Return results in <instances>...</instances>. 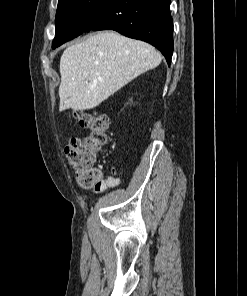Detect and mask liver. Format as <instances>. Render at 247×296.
I'll return each instance as SVG.
<instances>
[{"label": "liver", "mask_w": 247, "mask_h": 296, "mask_svg": "<svg viewBox=\"0 0 247 296\" xmlns=\"http://www.w3.org/2000/svg\"><path fill=\"white\" fill-rule=\"evenodd\" d=\"M162 61L150 44L114 31L90 35L60 59L59 110H89Z\"/></svg>", "instance_id": "6515ba94"}]
</instances>
